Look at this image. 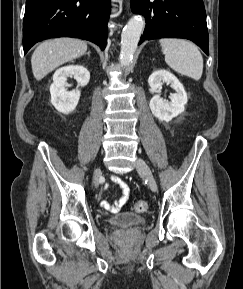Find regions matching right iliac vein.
<instances>
[{
  "mask_svg": "<svg viewBox=\"0 0 243 289\" xmlns=\"http://www.w3.org/2000/svg\"><path fill=\"white\" fill-rule=\"evenodd\" d=\"M100 175H101V169L97 168L94 173V184L96 187L98 186V180H99Z\"/></svg>",
  "mask_w": 243,
  "mask_h": 289,
  "instance_id": "obj_1",
  "label": "right iliac vein"
}]
</instances>
